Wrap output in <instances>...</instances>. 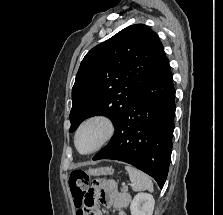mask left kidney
Wrapping results in <instances>:
<instances>
[{
	"label": "left kidney",
	"instance_id": "5707ae66",
	"mask_svg": "<svg viewBox=\"0 0 223 215\" xmlns=\"http://www.w3.org/2000/svg\"><path fill=\"white\" fill-rule=\"evenodd\" d=\"M155 205V199L151 193H137L134 195L130 209L131 215H152Z\"/></svg>",
	"mask_w": 223,
	"mask_h": 215
}]
</instances>
